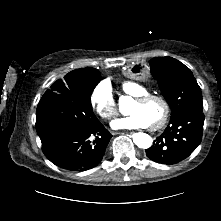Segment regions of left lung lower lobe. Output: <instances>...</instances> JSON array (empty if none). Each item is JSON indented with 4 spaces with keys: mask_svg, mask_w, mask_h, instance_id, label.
I'll list each match as a JSON object with an SVG mask.
<instances>
[{
    "mask_svg": "<svg viewBox=\"0 0 221 221\" xmlns=\"http://www.w3.org/2000/svg\"><path fill=\"white\" fill-rule=\"evenodd\" d=\"M203 109H192L181 114L179 117L171 118L170 124L165 131L146 149L149 159L166 165L178 163L186 159L196 149L202 140ZM174 141L176 145L175 154L172 157L165 155V148Z\"/></svg>",
    "mask_w": 221,
    "mask_h": 221,
    "instance_id": "1",
    "label": "left lung lower lobe"
}]
</instances>
